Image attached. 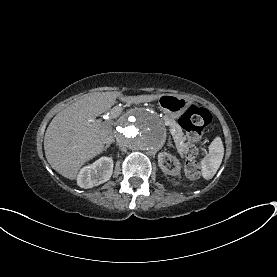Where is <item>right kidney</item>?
I'll list each match as a JSON object with an SVG mask.
<instances>
[{"label":"right kidney","mask_w":277,"mask_h":277,"mask_svg":"<svg viewBox=\"0 0 277 277\" xmlns=\"http://www.w3.org/2000/svg\"><path fill=\"white\" fill-rule=\"evenodd\" d=\"M113 160L101 157L92 165L84 167L78 176V185L83 189L93 188L110 180L113 174Z\"/></svg>","instance_id":"1"}]
</instances>
